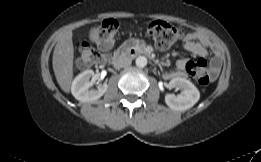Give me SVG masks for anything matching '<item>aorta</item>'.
I'll list each match as a JSON object with an SVG mask.
<instances>
[{
	"instance_id": "1",
	"label": "aorta",
	"mask_w": 261,
	"mask_h": 162,
	"mask_svg": "<svg viewBox=\"0 0 261 162\" xmlns=\"http://www.w3.org/2000/svg\"><path fill=\"white\" fill-rule=\"evenodd\" d=\"M147 64V59L143 56H140L136 59V65L137 67H145Z\"/></svg>"
}]
</instances>
